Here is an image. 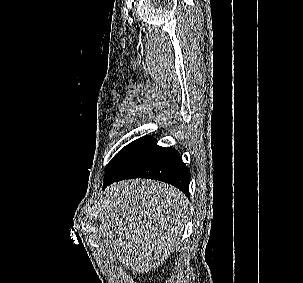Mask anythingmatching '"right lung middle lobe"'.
Here are the masks:
<instances>
[{
  "label": "right lung middle lobe",
  "instance_id": "right-lung-middle-lobe-1",
  "mask_svg": "<svg viewBox=\"0 0 303 283\" xmlns=\"http://www.w3.org/2000/svg\"><path fill=\"white\" fill-rule=\"evenodd\" d=\"M137 141V140H136ZM133 141L130 144H128L127 146H125L124 148H122L115 156L114 158L110 161V163L107 166L106 172H109L117 163L118 161L123 157V155L125 154V152L136 142Z\"/></svg>",
  "mask_w": 303,
  "mask_h": 283
}]
</instances>
